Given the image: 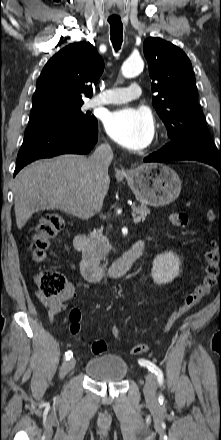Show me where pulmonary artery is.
Instances as JSON below:
<instances>
[{"mask_svg": "<svg viewBox=\"0 0 221 440\" xmlns=\"http://www.w3.org/2000/svg\"><path fill=\"white\" fill-rule=\"evenodd\" d=\"M141 87L137 83L127 88H112L102 92L98 97L90 101L89 106L121 104L140 97Z\"/></svg>", "mask_w": 221, "mask_h": 440, "instance_id": "obj_1", "label": "pulmonary artery"}]
</instances>
